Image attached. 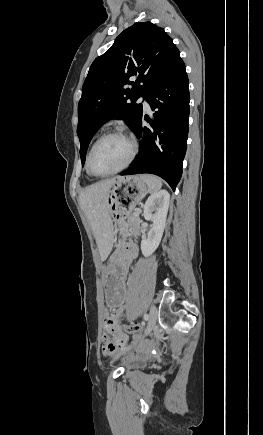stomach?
Listing matches in <instances>:
<instances>
[{"label": "stomach", "instance_id": "0dacf381", "mask_svg": "<svg viewBox=\"0 0 263 435\" xmlns=\"http://www.w3.org/2000/svg\"><path fill=\"white\" fill-rule=\"evenodd\" d=\"M121 192V193H120ZM148 188L140 176H127L117 180L109 189L107 204L112 219H127L128 212L147 194ZM119 233H126L128 226L119 224ZM128 263L121 258H108L102 274L103 307L105 310H116L118 305H124L128 297L126 278Z\"/></svg>", "mask_w": 263, "mask_h": 435}]
</instances>
